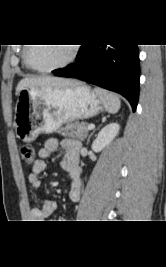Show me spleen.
I'll return each instance as SVG.
<instances>
[{
  "label": "spleen",
  "mask_w": 166,
  "mask_h": 267,
  "mask_svg": "<svg viewBox=\"0 0 166 267\" xmlns=\"http://www.w3.org/2000/svg\"><path fill=\"white\" fill-rule=\"evenodd\" d=\"M95 92L108 112L113 114L118 112L121 106V101L117 95L102 89H95Z\"/></svg>",
  "instance_id": "spleen-1"
}]
</instances>
